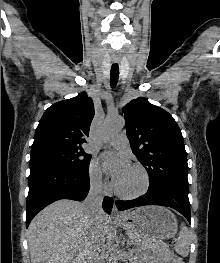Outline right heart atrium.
I'll list each match as a JSON object with an SVG mask.
<instances>
[{
  "mask_svg": "<svg viewBox=\"0 0 220 263\" xmlns=\"http://www.w3.org/2000/svg\"><path fill=\"white\" fill-rule=\"evenodd\" d=\"M88 180L90 186L97 191L107 187V181L96 160H91L88 167Z\"/></svg>",
  "mask_w": 220,
  "mask_h": 263,
  "instance_id": "right-heart-atrium-1",
  "label": "right heart atrium"
}]
</instances>
